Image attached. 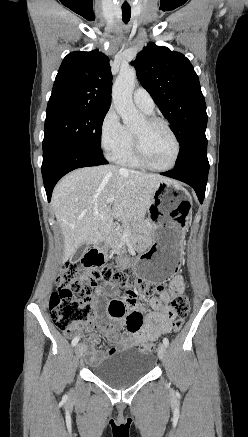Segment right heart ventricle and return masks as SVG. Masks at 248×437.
Listing matches in <instances>:
<instances>
[{"label": "right heart ventricle", "mask_w": 248, "mask_h": 437, "mask_svg": "<svg viewBox=\"0 0 248 437\" xmlns=\"http://www.w3.org/2000/svg\"><path fill=\"white\" fill-rule=\"evenodd\" d=\"M129 135H130V141L127 148L116 158V160L124 166L138 168L141 167L142 165L138 161L134 152L132 134L129 133Z\"/></svg>", "instance_id": "obj_1"}]
</instances>
